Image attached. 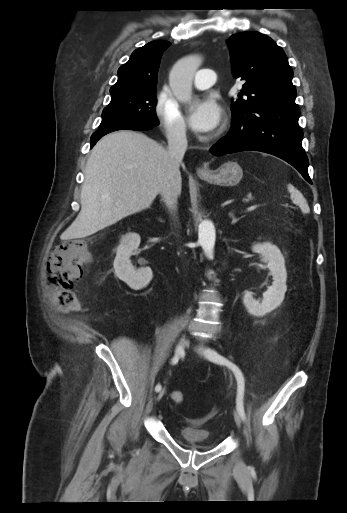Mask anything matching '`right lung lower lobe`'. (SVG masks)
Returning <instances> with one entry per match:
<instances>
[{
  "label": "right lung lower lobe",
  "mask_w": 347,
  "mask_h": 513,
  "mask_svg": "<svg viewBox=\"0 0 347 513\" xmlns=\"http://www.w3.org/2000/svg\"><path fill=\"white\" fill-rule=\"evenodd\" d=\"M152 127H147V126H143V125H140V124H134V123H126V124H117V125H113V126H109V127H106V128H103V129H99L98 131H96L92 136H91V148L96 144V142L104 135L110 133V132H113V131H117V130H135V131H140V130H148V129H151Z\"/></svg>",
  "instance_id": "right-lung-lower-lobe-1"
}]
</instances>
